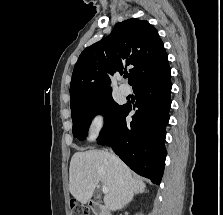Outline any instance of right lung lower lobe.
Returning <instances> with one entry per match:
<instances>
[{
	"label": "right lung lower lobe",
	"mask_w": 223,
	"mask_h": 215,
	"mask_svg": "<svg viewBox=\"0 0 223 215\" xmlns=\"http://www.w3.org/2000/svg\"><path fill=\"white\" fill-rule=\"evenodd\" d=\"M171 87L170 68L157 77L137 82L133 86L137 96L133 109L138 110L132 122H126L132 106L125 104L116 127L98 141L100 145L112 146L133 171L157 185L165 165V126L169 121Z\"/></svg>",
	"instance_id": "right-lung-lower-lobe-1"
}]
</instances>
